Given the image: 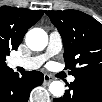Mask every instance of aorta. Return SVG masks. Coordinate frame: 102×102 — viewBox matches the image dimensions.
Returning <instances> with one entry per match:
<instances>
[{
	"mask_svg": "<svg viewBox=\"0 0 102 102\" xmlns=\"http://www.w3.org/2000/svg\"><path fill=\"white\" fill-rule=\"evenodd\" d=\"M26 44L33 51H41L48 44V35L41 28H33L26 35ZM49 91L54 97H62L65 89L61 81H53L49 85Z\"/></svg>",
	"mask_w": 102,
	"mask_h": 102,
	"instance_id": "762f6f07",
	"label": "aorta"
}]
</instances>
